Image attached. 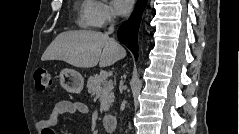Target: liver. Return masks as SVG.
Listing matches in <instances>:
<instances>
[{
  "label": "liver",
  "instance_id": "6515ba94",
  "mask_svg": "<svg viewBox=\"0 0 239 134\" xmlns=\"http://www.w3.org/2000/svg\"><path fill=\"white\" fill-rule=\"evenodd\" d=\"M126 56L125 49L108 34L92 30L68 31L59 34L48 46L42 60H61L78 68L114 64Z\"/></svg>",
  "mask_w": 239,
  "mask_h": 134
}]
</instances>
